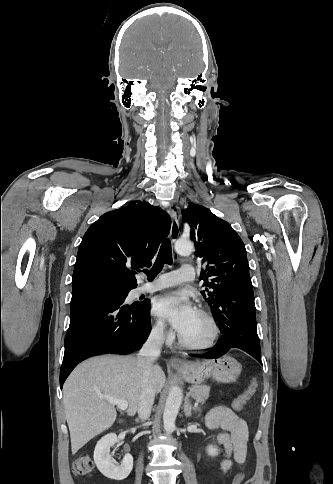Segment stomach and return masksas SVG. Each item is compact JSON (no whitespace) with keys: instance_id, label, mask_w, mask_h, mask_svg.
<instances>
[{"instance_id":"obj_1","label":"stomach","mask_w":333,"mask_h":484,"mask_svg":"<svg viewBox=\"0 0 333 484\" xmlns=\"http://www.w3.org/2000/svg\"><path fill=\"white\" fill-rule=\"evenodd\" d=\"M188 382L201 385L208 379L222 383H233L241 373V364L229 355L205 359L197 362H186L175 368Z\"/></svg>"}]
</instances>
